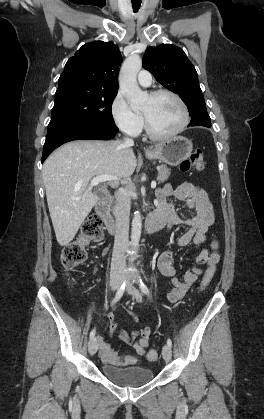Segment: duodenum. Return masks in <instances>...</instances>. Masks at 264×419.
<instances>
[{"mask_svg":"<svg viewBox=\"0 0 264 419\" xmlns=\"http://www.w3.org/2000/svg\"><path fill=\"white\" fill-rule=\"evenodd\" d=\"M113 202V197H106L102 199L96 207V212L98 216L104 222L107 230L109 233L114 234L116 230L115 220L111 213V205ZM164 226V220L161 216L154 213L149 218H147L144 222L145 230L148 233H153L159 230L161 227Z\"/></svg>","mask_w":264,"mask_h":419,"instance_id":"1","label":"duodenum"}]
</instances>
